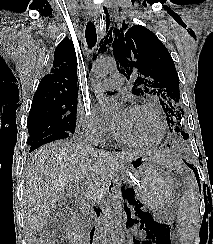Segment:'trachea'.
Returning <instances> with one entry per match:
<instances>
[{
  "instance_id": "3493384b",
  "label": "trachea",
  "mask_w": 213,
  "mask_h": 244,
  "mask_svg": "<svg viewBox=\"0 0 213 244\" xmlns=\"http://www.w3.org/2000/svg\"><path fill=\"white\" fill-rule=\"evenodd\" d=\"M85 37L89 48L95 46L97 42L96 28L93 22L89 21L85 30Z\"/></svg>"
}]
</instances>
